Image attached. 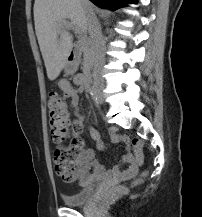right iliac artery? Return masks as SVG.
Instances as JSON below:
<instances>
[{"label": "right iliac artery", "mask_w": 202, "mask_h": 217, "mask_svg": "<svg viewBox=\"0 0 202 217\" xmlns=\"http://www.w3.org/2000/svg\"><path fill=\"white\" fill-rule=\"evenodd\" d=\"M90 94H91L93 101L97 104L98 101H97L96 91L94 88L91 89Z\"/></svg>", "instance_id": "82829eb1"}]
</instances>
